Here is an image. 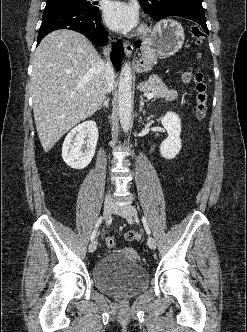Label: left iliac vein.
Instances as JSON below:
<instances>
[{
    "label": "left iliac vein",
    "mask_w": 247,
    "mask_h": 332,
    "mask_svg": "<svg viewBox=\"0 0 247 332\" xmlns=\"http://www.w3.org/2000/svg\"><path fill=\"white\" fill-rule=\"evenodd\" d=\"M114 213L124 217L128 221L132 220L133 217L138 216L137 209L132 205L115 206ZM147 244L152 250L156 248V242L151 236H148Z\"/></svg>",
    "instance_id": "obj_1"
}]
</instances>
